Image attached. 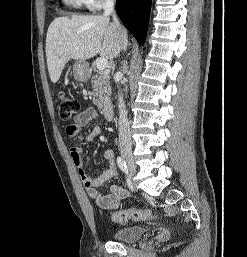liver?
Segmentation results:
<instances>
[{"label": "liver", "instance_id": "obj_1", "mask_svg": "<svg viewBox=\"0 0 247 257\" xmlns=\"http://www.w3.org/2000/svg\"><path fill=\"white\" fill-rule=\"evenodd\" d=\"M122 39V31L110 23V18L105 15L55 18L46 37V58L51 81L56 83L59 80L70 59L85 61L97 54L106 59L115 58L122 49Z\"/></svg>", "mask_w": 247, "mask_h": 257}]
</instances>
